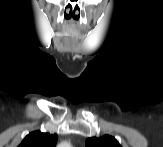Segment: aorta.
Instances as JSON below:
<instances>
[{"instance_id":"762f6f07","label":"aorta","mask_w":163,"mask_h":147,"mask_svg":"<svg viewBox=\"0 0 163 147\" xmlns=\"http://www.w3.org/2000/svg\"><path fill=\"white\" fill-rule=\"evenodd\" d=\"M60 146L61 147H69L70 145L67 142H63V143L60 144Z\"/></svg>"}]
</instances>
